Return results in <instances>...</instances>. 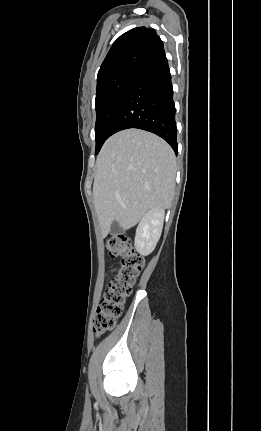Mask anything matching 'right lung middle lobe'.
I'll list each match as a JSON object with an SVG mask.
<instances>
[{
  "label": "right lung middle lobe",
  "mask_w": 261,
  "mask_h": 431,
  "mask_svg": "<svg viewBox=\"0 0 261 431\" xmlns=\"http://www.w3.org/2000/svg\"><path fill=\"white\" fill-rule=\"evenodd\" d=\"M139 73V70H129L97 86L95 99L96 154L100 151L105 140L110 137L112 121Z\"/></svg>",
  "instance_id": "obj_1"
}]
</instances>
